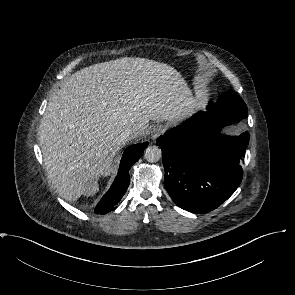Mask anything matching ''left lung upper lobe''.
<instances>
[{"label":"left lung upper lobe","instance_id":"obj_1","mask_svg":"<svg viewBox=\"0 0 295 295\" xmlns=\"http://www.w3.org/2000/svg\"><path fill=\"white\" fill-rule=\"evenodd\" d=\"M213 107L224 114L236 115L241 118H246L248 116L245 102L241 97L233 93H226L220 96L217 103H213Z\"/></svg>","mask_w":295,"mask_h":295}]
</instances>
